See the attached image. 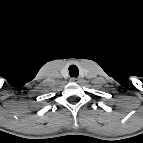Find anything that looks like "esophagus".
<instances>
[{"label":"esophagus","mask_w":143,"mask_h":143,"mask_svg":"<svg viewBox=\"0 0 143 143\" xmlns=\"http://www.w3.org/2000/svg\"><path fill=\"white\" fill-rule=\"evenodd\" d=\"M71 81L75 82V83H78L80 81V78L73 77V78H71Z\"/></svg>","instance_id":"obj_1"}]
</instances>
